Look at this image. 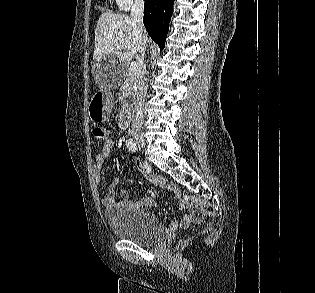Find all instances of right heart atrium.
<instances>
[{
	"label": "right heart atrium",
	"instance_id": "obj_1",
	"mask_svg": "<svg viewBox=\"0 0 315 293\" xmlns=\"http://www.w3.org/2000/svg\"><path fill=\"white\" fill-rule=\"evenodd\" d=\"M142 0H115L116 5L121 10H128L135 2Z\"/></svg>",
	"mask_w": 315,
	"mask_h": 293
}]
</instances>
